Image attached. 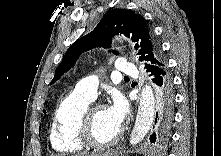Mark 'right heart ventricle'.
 Returning <instances> with one entry per match:
<instances>
[{
    "label": "right heart ventricle",
    "instance_id": "1",
    "mask_svg": "<svg viewBox=\"0 0 221 156\" xmlns=\"http://www.w3.org/2000/svg\"><path fill=\"white\" fill-rule=\"evenodd\" d=\"M91 101L75 89L59 103L50 128V142L56 152L69 154L83 149L84 145L77 137V127L81 114Z\"/></svg>",
    "mask_w": 221,
    "mask_h": 156
}]
</instances>
